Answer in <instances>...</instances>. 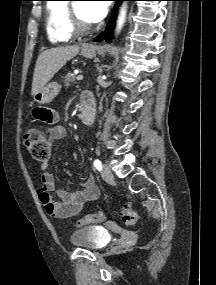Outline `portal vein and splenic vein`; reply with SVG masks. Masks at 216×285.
<instances>
[{
	"label": "portal vein and splenic vein",
	"mask_w": 216,
	"mask_h": 285,
	"mask_svg": "<svg viewBox=\"0 0 216 285\" xmlns=\"http://www.w3.org/2000/svg\"><path fill=\"white\" fill-rule=\"evenodd\" d=\"M83 78H84L83 75H78L77 76V80H79V81L83 80Z\"/></svg>",
	"instance_id": "portal-vein-and-splenic-vein-1"
}]
</instances>
